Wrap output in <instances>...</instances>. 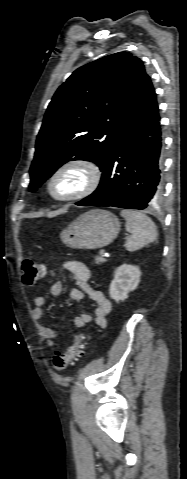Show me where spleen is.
<instances>
[{"mask_svg": "<svg viewBox=\"0 0 187 479\" xmlns=\"http://www.w3.org/2000/svg\"><path fill=\"white\" fill-rule=\"evenodd\" d=\"M121 216L126 220V230L131 236L125 243L129 252H134L145 245L157 241V230L154 222L142 212L121 210Z\"/></svg>", "mask_w": 187, "mask_h": 479, "instance_id": "obj_1", "label": "spleen"}]
</instances>
